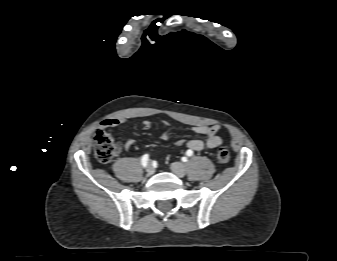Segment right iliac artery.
Segmentation results:
<instances>
[{
  "instance_id": "1",
  "label": "right iliac artery",
  "mask_w": 337,
  "mask_h": 261,
  "mask_svg": "<svg viewBox=\"0 0 337 261\" xmlns=\"http://www.w3.org/2000/svg\"><path fill=\"white\" fill-rule=\"evenodd\" d=\"M148 160H149V155L148 154H145V155L142 156V158H141V164H142L143 167L147 166Z\"/></svg>"
}]
</instances>
